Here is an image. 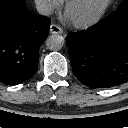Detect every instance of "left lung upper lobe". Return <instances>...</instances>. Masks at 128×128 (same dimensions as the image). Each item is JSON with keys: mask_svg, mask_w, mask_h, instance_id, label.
<instances>
[{"mask_svg": "<svg viewBox=\"0 0 128 128\" xmlns=\"http://www.w3.org/2000/svg\"><path fill=\"white\" fill-rule=\"evenodd\" d=\"M125 7H128V0H124L121 5L118 7V9H122V8H125Z\"/></svg>", "mask_w": 128, "mask_h": 128, "instance_id": "1", "label": "left lung upper lobe"}]
</instances>
